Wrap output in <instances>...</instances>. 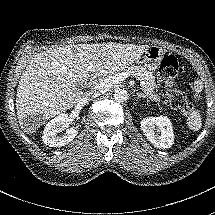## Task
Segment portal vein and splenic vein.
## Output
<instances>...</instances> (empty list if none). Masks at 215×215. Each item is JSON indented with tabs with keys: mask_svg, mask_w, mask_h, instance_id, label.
<instances>
[{
	"mask_svg": "<svg viewBox=\"0 0 215 215\" xmlns=\"http://www.w3.org/2000/svg\"><path fill=\"white\" fill-rule=\"evenodd\" d=\"M128 77L127 72H122L113 76H109L105 80L99 83H95L94 87L95 89H107L108 87H111L113 84H118L124 79ZM92 83V82H91Z\"/></svg>",
	"mask_w": 215,
	"mask_h": 215,
	"instance_id": "portal-vein-and-splenic-vein-1",
	"label": "portal vein and splenic vein"
}]
</instances>
